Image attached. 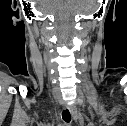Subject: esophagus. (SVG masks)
Here are the masks:
<instances>
[{
	"mask_svg": "<svg viewBox=\"0 0 127 126\" xmlns=\"http://www.w3.org/2000/svg\"><path fill=\"white\" fill-rule=\"evenodd\" d=\"M67 108L69 109V111H70V113H71L73 119L76 121L77 118H78V114H77V109H76V107L73 106V105H70V106H67Z\"/></svg>",
	"mask_w": 127,
	"mask_h": 126,
	"instance_id": "34e87169",
	"label": "esophagus"
}]
</instances>
